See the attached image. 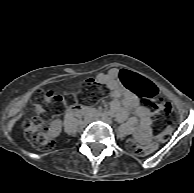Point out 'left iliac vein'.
<instances>
[{
  "label": "left iliac vein",
  "mask_w": 194,
  "mask_h": 193,
  "mask_svg": "<svg viewBox=\"0 0 194 193\" xmlns=\"http://www.w3.org/2000/svg\"><path fill=\"white\" fill-rule=\"evenodd\" d=\"M104 122L108 124H112V120L110 118H104Z\"/></svg>",
  "instance_id": "obj_1"
}]
</instances>
